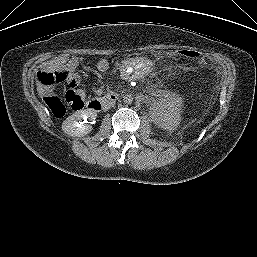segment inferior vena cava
<instances>
[{"label":"inferior vena cava","mask_w":257,"mask_h":257,"mask_svg":"<svg viewBox=\"0 0 257 257\" xmlns=\"http://www.w3.org/2000/svg\"><path fill=\"white\" fill-rule=\"evenodd\" d=\"M114 105L113 102L111 101H108V102H105L104 105H103V108L104 110H108L110 107H112Z\"/></svg>","instance_id":"inferior-vena-cava-1"}]
</instances>
